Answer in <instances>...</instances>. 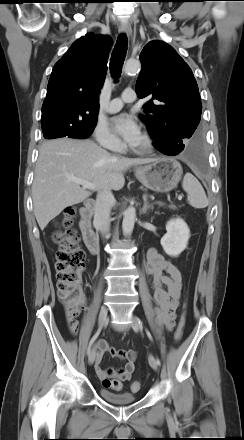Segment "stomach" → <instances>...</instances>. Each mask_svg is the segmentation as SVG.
I'll return each mask as SVG.
<instances>
[{"label": "stomach", "instance_id": "obj_1", "mask_svg": "<svg viewBox=\"0 0 244 440\" xmlns=\"http://www.w3.org/2000/svg\"><path fill=\"white\" fill-rule=\"evenodd\" d=\"M182 174L181 164L172 157H160L135 169L137 179L146 188L157 192H169L174 189Z\"/></svg>", "mask_w": 244, "mask_h": 440}]
</instances>
